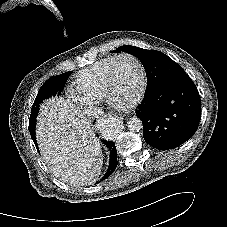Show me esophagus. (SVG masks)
Wrapping results in <instances>:
<instances>
[{
	"label": "esophagus",
	"mask_w": 227,
	"mask_h": 227,
	"mask_svg": "<svg viewBox=\"0 0 227 227\" xmlns=\"http://www.w3.org/2000/svg\"><path fill=\"white\" fill-rule=\"evenodd\" d=\"M105 117H107V118L114 117L116 120H119L120 119L117 115L112 116L111 114H107Z\"/></svg>",
	"instance_id": "1"
}]
</instances>
